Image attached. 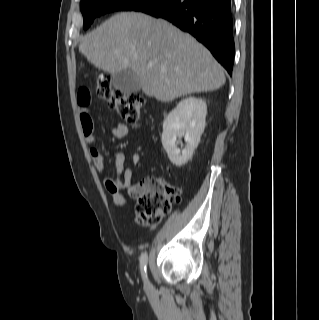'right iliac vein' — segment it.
<instances>
[{
	"label": "right iliac vein",
	"instance_id": "63e3f726",
	"mask_svg": "<svg viewBox=\"0 0 319 320\" xmlns=\"http://www.w3.org/2000/svg\"><path fill=\"white\" fill-rule=\"evenodd\" d=\"M146 285H148V286H149V282H146Z\"/></svg>",
	"mask_w": 319,
	"mask_h": 320
}]
</instances>
